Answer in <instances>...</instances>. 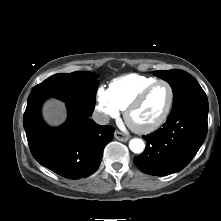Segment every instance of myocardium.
<instances>
[{
  "instance_id": "obj_1",
  "label": "myocardium",
  "mask_w": 221,
  "mask_h": 221,
  "mask_svg": "<svg viewBox=\"0 0 221 221\" xmlns=\"http://www.w3.org/2000/svg\"><path fill=\"white\" fill-rule=\"evenodd\" d=\"M160 84L166 85L168 87L169 93H170L169 101H168V104H167V107H166L164 113L156 122H154L152 124L145 125V126H139V125L134 124L131 119L133 112L144 102V100L147 98V96L150 94V92L156 86H158ZM174 100H175V92H174L172 85L166 80H157V81L151 83L150 85H148L146 88H144L129 103V105L126 107L125 112H124L125 120H126L127 124L129 125V127L137 133H140V134L152 133V132L158 130L160 127H162L164 125V123L167 121V119L169 118V116L171 114Z\"/></svg>"
}]
</instances>
